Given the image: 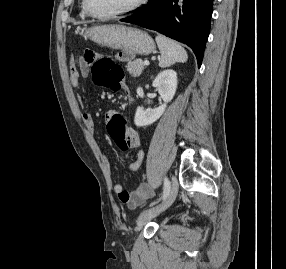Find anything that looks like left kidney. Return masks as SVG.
Listing matches in <instances>:
<instances>
[{
  "instance_id": "5707ae66",
  "label": "left kidney",
  "mask_w": 286,
  "mask_h": 269,
  "mask_svg": "<svg viewBox=\"0 0 286 269\" xmlns=\"http://www.w3.org/2000/svg\"><path fill=\"white\" fill-rule=\"evenodd\" d=\"M152 86L158 90L163 104L154 109L148 108L146 110L138 107L134 117L136 126H147L157 121L164 113L167 103H169L177 89V73L174 70H165L157 75Z\"/></svg>"
}]
</instances>
